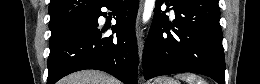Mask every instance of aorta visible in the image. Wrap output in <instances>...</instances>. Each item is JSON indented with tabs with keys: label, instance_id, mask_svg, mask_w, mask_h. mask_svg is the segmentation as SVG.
Listing matches in <instances>:
<instances>
[{
	"label": "aorta",
	"instance_id": "762f6f07",
	"mask_svg": "<svg viewBox=\"0 0 260 84\" xmlns=\"http://www.w3.org/2000/svg\"><path fill=\"white\" fill-rule=\"evenodd\" d=\"M155 6V0H146L144 4L143 21L147 22L153 12Z\"/></svg>",
	"mask_w": 260,
	"mask_h": 84
}]
</instances>
